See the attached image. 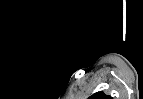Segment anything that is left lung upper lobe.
Listing matches in <instances>:
<instances>
[{"label":"left lung upper lobe","instance_id":"5c2ea615","mask_svg":"<svg viewBox=\"0 0 143 99\" xmlns=\"http://www.w3.org/2000/svg\"><path fill=\"white\" fill-rule=\"evenodd\" d=\"M89 99H112L111 96L105 95L103 91L96 92Z\"/></svg>","mask_w":143,"mask_h":99}]
</instances>
